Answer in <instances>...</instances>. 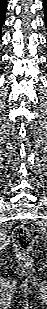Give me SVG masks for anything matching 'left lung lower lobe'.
Segmentation results:
<instances>
[{
  "instance_id": "left-lung-lower-lobe-1",
  "label": "left lung lower lobe",
  "mask_w": 47,
  "mask_h": 309,
  "mask_svg": "<svg viewBox=\"0 0 47 309\" xmlns=\"http://www.w3.org/2000/svg\"><path fill=\"white\" fill-rule=\"evenodd\" d=\"M44 8H45V19L47 24V0H44Z\"/></svg>"
}]
</instances>
